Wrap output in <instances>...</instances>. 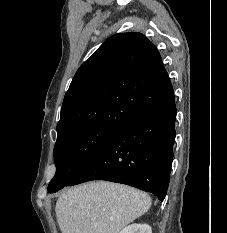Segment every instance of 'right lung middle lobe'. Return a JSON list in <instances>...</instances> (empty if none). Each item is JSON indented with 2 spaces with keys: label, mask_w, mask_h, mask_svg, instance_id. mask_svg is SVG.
Here are the masks:
<instances>
[{
  "label": "right lung middle lobe",
  "mask_w": 227,
  "mask_h": 233,
  "mask_svg": "<svg viewBox=\"0 0 227 233\" xmlns=\"http://www.w3.org/2000/svg\"><path fill=\"white\" fill-rule=\"evenodd\" d=\"M118 129L88 126L57 135L54 147L55 176L48 192L54 193L71 182Z\"/></svg>",
  "instance_id": "obj_1"
}]
</instances>
